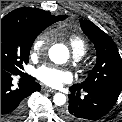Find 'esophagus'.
<instances>
[{"label": "esophagus", "instance_id": "esophagus-1", "mask_svg": "<svg viewBox=\"0 0 122 122\" xmlns=\"http://www.w3.org/2000/svg\"><path fill=\"white\" fill-rule=\"evenodd\" d=\"M42 91L47 92V93H51V94L56 92V90L48 88V87H42Z\"/></svg>", "mask_w": 122, "mask_h": 122}]
</instances>
